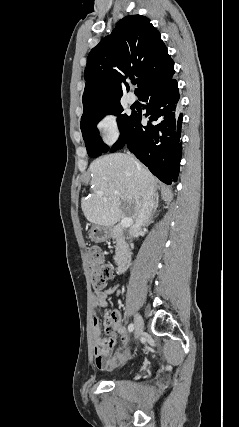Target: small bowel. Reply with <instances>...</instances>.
<instances>
[{"instance_id": "small-bowel-1", "label": "small bowel", "mask_w": 239, "mask_h": 427, "mask_svg": "<svg viewBox=\"0 0 239 427\" xmlns=\"http://www.w3.org/2000/svg\"><path fill=\"white\" fill-rule=\"evenodd\" d=\"M117 287L113 284L104 290H98L93 294V305L95 307H103L105 315L110 318L113 323V328L116 333L121 336V349H125L123 353H115L112 355L113 348L117 345L115 335L108 338H102L99 320L97 317L93 319V335L95 341L94 356L97 368L101 370L114 369L124 364L130 357L129 350L126 349L129 337L126 333L124 326L121 324L120 315L118 312H110L108 309L107 298L112 295Z\"/></svg>"}]
</instances>
